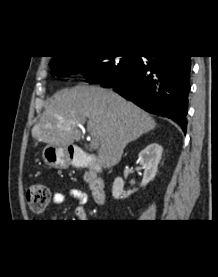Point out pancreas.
Listing matches in <instances>:
<instances>
[{
    "label": "pancreas",
    "instance_id": "pancreas-1",
    "mask_svg": "<svg viewBox=\"0 0 218 277\" xmlns=\"http://www.w3.org/2000/svg\"><path fill=\"white\" fill-rule=\"evenodd\" d=\"M88 177H89V173L87 172V173H85V175H84L85 181H88Z\"/></svg>",
    "mask_w": 218,
    "mask_h": 277
}]
</instances>
